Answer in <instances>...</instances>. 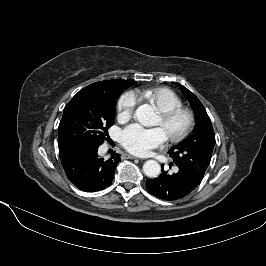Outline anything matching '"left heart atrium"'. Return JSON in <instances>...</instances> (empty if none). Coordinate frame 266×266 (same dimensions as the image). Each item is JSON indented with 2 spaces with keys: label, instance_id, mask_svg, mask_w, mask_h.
I'll return each mask as SVG.
<instances>
[{
  "label": "left heart atrium",
  "instance_id": "39dd6f15",
  "mask_svg": "<svg viewBox=\"0 0 266 266\" xmlns=\"http://www.w3.org/2000/svg\"><path fill=\"white\" fill-rule=\"evenodd\" d=\"M120 140L130 153L147 156L153 149L164 145L167 135L160 127L145 128L138 123H133L122 131Z\"/></svg>",
  "mask_w": 266,
  "mask_h": 266
}]
</instances>
